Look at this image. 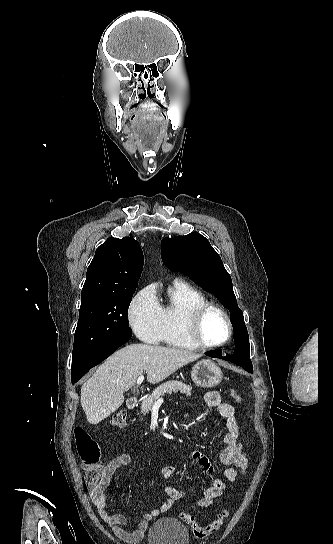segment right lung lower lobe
I'll return each instance as SVG.
<instances>
[{"mask_svg":"<svg viewBox=\"0 0 333 544\" xmlns=\"http://www.w3.org/2000/svg\"><path fill=\"white\" fill-rule=\"evenodd\" d=\"M132 335L123 334L99 346L91 354L72 366V383H76L92 367L109 357L117 348L125 344Z\"/></svg>","mask_w":333,"mask_h":544,"instance_id":"98d812e1","label":"right lung lower lobe"}]
</instances>
